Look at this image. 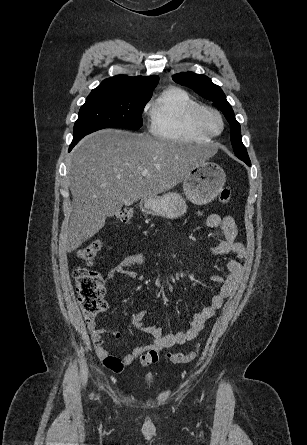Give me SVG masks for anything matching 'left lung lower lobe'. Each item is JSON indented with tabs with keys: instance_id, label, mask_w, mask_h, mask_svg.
<instances>
[{
	"instance_id": "left-lung-lower-lobe-1",
	"label": "left lung lower lobe",
	"mask_w": 307,
	"mask_h": 445,
	"mask_svg": "<svg viewBox=\"0 0 307 445\" xmlns=\"http://www.w3.org/2000/svg\"><path fill=\"white\" fill-rule=\"evenodd\" d=\"M242 161H244L243 159H241ZM246 163V162H245ZM247 165L251 166V162L250 163H246Z\"/></svg>"
}]
</instances>
